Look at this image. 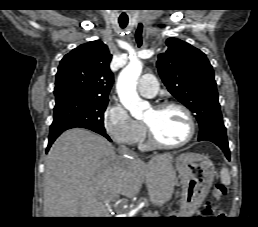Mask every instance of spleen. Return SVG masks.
Returning a JSON list of instances; mask_svg holds the SVG:
<instances>
[{
  "label": "spleen",
  "instance_id": "obj_1",
  "mask_svg": "<svg viewBox=\"0 0 258 227\" xmlns=\"http://www.w3.org/2000/svg\"><path fill=\"white\" fill-rule=\"evenodd\" d=\"M221 182L225 185H229L231 183V178L229 174V170L227 167L223 166L220 171Z\"/></svg>",
  "mask_w": 258,
  "mask_h": 227
}]
</instances>
